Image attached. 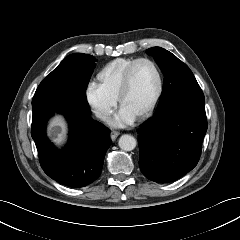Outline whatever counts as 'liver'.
<instances>
[{"label":"liver","instance_id":"1","mask_svg":"<svg viewBox=\"0 0 240 240\" xmlns=\"http://www.w3.org/2000/svg\"><path fill=\"white\" fill-rule=\"evenodd\" d=\"M52 124H56V125H62L64 126V123L62 122V120L58 117H56L53 121Z\"/></svg>","mask_w":240,"mask_h":240}]
</instances>
